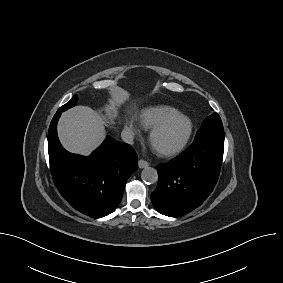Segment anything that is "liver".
<instances>
[{
  "mask_svg": "<svg viewBox=\"0 0 283 283\" xmlns=\"http://www.w3.org/2000/svg\"><path fill=\"white\" fill-rule=\"evenodd\" d=\"M58 135L68 151L89 155L105 137L103 120L91 108L77 106L62 114Z\"/></svg>",
  "mask_w": 283,
  "mask_h": 283,
  "instance_id": "6515ba94",
  "label": "liver"
}]
</instances>
